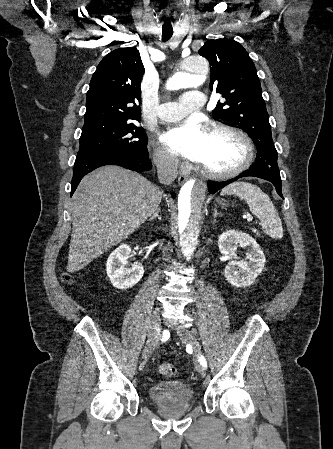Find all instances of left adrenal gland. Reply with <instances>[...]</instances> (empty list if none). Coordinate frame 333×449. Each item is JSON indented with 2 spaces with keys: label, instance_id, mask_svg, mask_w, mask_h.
<instances>
[{
  "label": "left adrenal gland",
  "instance_id": "left-adrenal-gland-1",
  "mask_svg": "<svg viewBox=\"0 0 333 449\" xmlns=\"http://www.w3.org/2000/svg\"><path fill=\"white\" fill-rule=\"evenodd\" d=\"M218 216H222V214L219 213V212L217 211L216 208H214V219H213V223L216 222V218H217Z\"/></svg>",
  "mask_w": 333,
  "mask_h": 449
}]
</instances>
